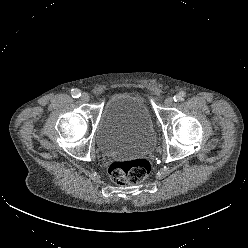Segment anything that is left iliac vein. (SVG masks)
<instances>
[{"label": "left iliac vein", "mask_w": 248, "mask_h": 248, "mask_svg": "<svg viewBox=\"0 0 248 248\" xmlns=\"http://www.w3.org/2000/svg\"><path fill=\"white\" fill-rule=\"evenodd\" d=\"M173 102H174V100L172 97H167L164 101V104L166 107H170V106H172Z\"/></svg>", "instance_id": "4c4485c4"}]
</instances>
